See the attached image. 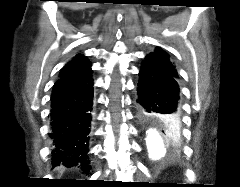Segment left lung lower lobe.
Here are the masks:
<instances>
[{
    "label": "left lung lower lobe",
    "instance_id": "left-lung-lower-lobe-1",
    "mask_svg": "<svg viewBox=\"0 0 240 187\" xmlns=\"http://www.w3.org/2000/svg\"><path fill=\"white\" fill-rule=\"evenodd\" d=\"M177 77L154 56L147 55L139 72L136 106L141 120H160L174 132L180 127ZM177 145L178 140L171 141Z\"/></svg>",
    "mask_w": 240,
    "mask_h": 187
}]
</instances>
